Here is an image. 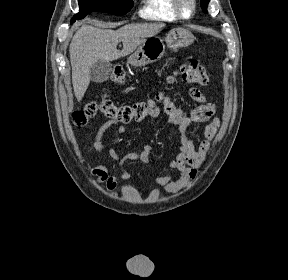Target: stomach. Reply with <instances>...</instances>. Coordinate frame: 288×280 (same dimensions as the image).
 Returning <instances> with one entry per match:
<instances>
[{"instance_id": "stomach-1", "label": "stomach", "mask_w": 288, "mask_h": 280, "mask_svg": "<svg viewBox=\"0 0 288 280\" xmlns=\"http://www.w3.org/2000/svg\"><path fill=\"white\" fill-rule=\"evenodd\" d=\"M194 40L192 33L184 28L176 27L171 29L165 40L159 37L146 39L138 49L129 57L128 63L134 67H141L156 62L165 53L167 47L176 51L179 48L189 46Z\"/></svg>"}]
</instances>
